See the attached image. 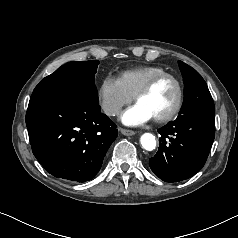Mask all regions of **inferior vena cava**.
Listing matches in <instances>:
<instances>
[{
  "label": "inferior vena cava",
  "instance_id": "obj_1",
  "mask_svg": "<svg viewBox=\"0 0 238 238\" xmlns=\"http://www.w3.org/2000/svg\"><path fill=\"white\" fill-rule=\"evenodd\" d=\"M103 109H104V112L110 116H115L119 114L120 112V107L116 105H104Z\"/></svg>",
  "mask_w": 238,
  "mask_h": 238
}]
</instances>
